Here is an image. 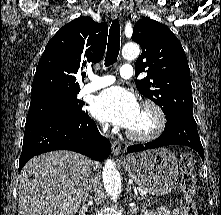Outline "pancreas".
I'll return each instance as SVG.
<instances>
[{
	"mask_svg": "<svg viewBox=\"0 0 221 215\" xmlns=\"http://www.w3.org/2000/svg\"><path fill=\"white\" fill-rule=\"evenodd\" d=\"M140 200L142 201L141 205H143L144 207H150L152 204L155 203L152 198L144 195L141 196Z\"/></svg>",
	"mask_w": 221,
	"mask_h": 215,
	"instance_id": "cf45deb5",
	"label": "pancreas"
}]
</instances>
